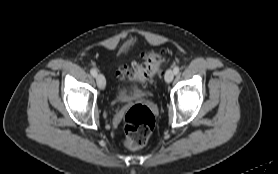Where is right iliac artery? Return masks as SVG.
Segmentation results:
<instances>
[{"label":"right iliac artery","mask_w":278,"mask_h":174,"mask_svg":"<svg viewBox=\"0 0 278 174\" xmlns=\"http://www.w3.org/2000/svg\"><path fill=\"white\" fill-rule=\"evenodd\" d=\"M90 73L92 74L93 77H96V76H97V70L94 69V68H92V69L90 70Z\"/></svg>","instance_id":"obj_1"}]
</instances>
